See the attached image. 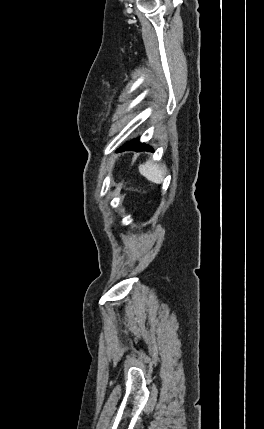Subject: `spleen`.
I'll list each match as a JSON object with an SVG mask.
<instances>
[{"mask_svg":"<svg viewBox=\"0 0 264 429\" xmlns=\"http://www.w3.org/2000/svg\"><path fill=\"white\" fill-rule=\"evenodd\" d=\"M139 171L149 181L156 184H161L165 176L164 167L151 162H146L145 164L139 165Z\"/></svg>","mask_w":264,"mask_h":429,"instance_id":"3e777b00","label":"spleen"}]
</instances>
